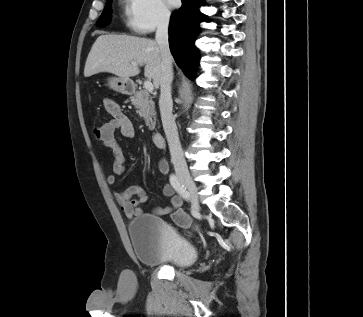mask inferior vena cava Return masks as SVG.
<instances>
[{
	"label": "inferior vena cava",
	"instance_id": "1",
	"mask_svg": "<svg viewBox=\"0 0 363 317\" xmlns=\"http://www.w3.org/2000/svg\"><path fill=\"white\" fill-rule=\"evenodd\" d=\"M169 21L170 15H163L158 22L155 35V40L162 57L159 108L163 128L169 145L171 162L176 171L187 172L188 168L180 144L177 126L172 115L173 102L171 97V83L173 81V58L168 42Z\"/></svg>",
	"mask_w": 363,
	"mask_h": 317
}]
</instances>
